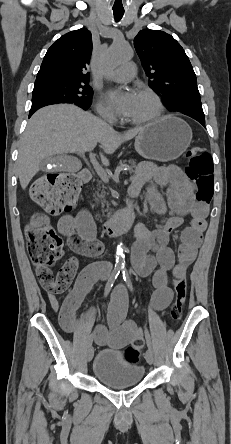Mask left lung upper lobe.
Listing matches in <instances>:
<instances>
[{"mask_svg": "<svg viewBox=\"0 0 231 444\" xmlns=\"http://www.w3.org/2000/svg\"><path fill=\"white\" fill-rule=\"evenodd\" d=\"M149 86L161 93L172 111L204 118L193 67L180 44L169 34L144 29L134 38Z\"/></svg>", "mask_w": 231, "mask_h": 444, "instance_id": "1", "label": "left lung upper lobe"}]
</instances>
